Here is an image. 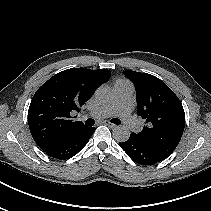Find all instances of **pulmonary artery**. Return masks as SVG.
<instances>
[{
  "label": "pulmonary artery",
  "instance_id": "pulmonary-artery-1",
  "mask_svg": "<svg viewBox=\"0 0 211 211\" xmlns=\"http://www.w3.org/2000/svg\"><path fill=\"white\" fill-rule=\"evenodd\" d=\"M113 90L114 99L111 103L99 107L86 116L96 119L117 116L128 128L136 130L138 125L131 115V97L134 91L133 85L129 82H119L115 83Z\"/></svg>",
  "mask_w": 211,
  "mask_h": 211
}]
</instances>
